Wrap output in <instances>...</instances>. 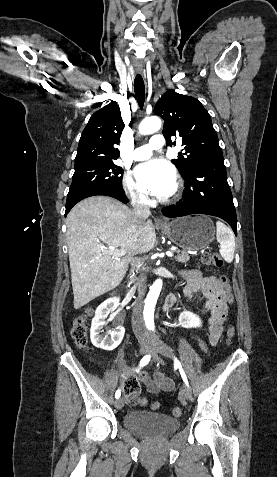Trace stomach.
Wrapping results in <instances>:
<instances>
[{
    "label": "stomach",
    "instance_id": "0dacf381",
    "mask_svg": "<svg viewBox=\"0 0 277 477\" xmlns=\"http://www.w3.org/2000/svg\"><path fill=\"white\" fill-rule=\"evenodd\" d=\"M160 229L174 244L184 250H202L215 237L214 224L205 215L177 218L161 226Z\"/></svg>",
    "mask_w": 277,
    "mask_h": 477
}]
</instances>
